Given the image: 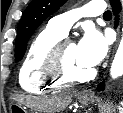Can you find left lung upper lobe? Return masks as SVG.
Returning <instances> with one entry per match:
<instances>
[{
  "label": "left lung upper lobe",
  "instance_id": "5c2ea615",
  "mask_svg": "<svg viewBox=\"0 0 123 113\" xmlns=\"http://www.w3.org/2000/svg\"><path fill=\"white\" fill-rule=\"evenodd\" d=\"M67 0H32L24 11L18 25L15 58L20 61L26 45L34 30Z\"/></svg>",
  "mask_w": 123,
  "mask_h": 113
}]
</instances>
